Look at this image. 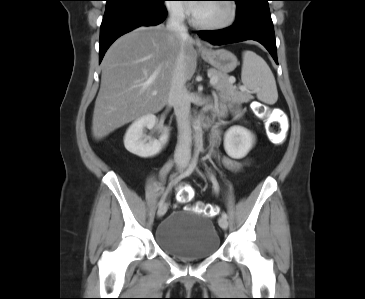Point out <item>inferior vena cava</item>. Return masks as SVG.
I'll return each mask as SVG.
<instances>
[{
  "label": "inferior vena cava",
  "instance_id": "1",
  "mask_svg": "<svg viewBox=\"0 0 365 299\" xmlns=\"http://www.w3.org/2000/svg\"><path fill=\"white\" fill-rule=\"evenodd\" d=\"M167 28L174 31L181 39H186L189 36L181 8H174L170 11ZM185 83L184 54L181 52L176 61L168 96V103L174 107L178 123V142L175 150L176 160L182 158L189 159L191 156L192 138L189 122L191 100Z\"/></svg>",
  "mask_w": 365,
  "mask_h": 299
}]
</instances>
